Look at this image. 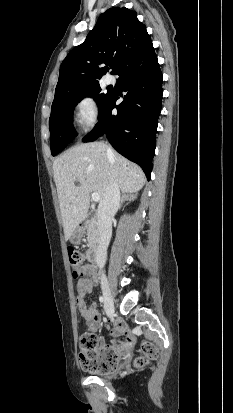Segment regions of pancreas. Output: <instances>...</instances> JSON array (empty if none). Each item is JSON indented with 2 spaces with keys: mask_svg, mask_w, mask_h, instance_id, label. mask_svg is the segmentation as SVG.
<instances>
[{
  "mask_svg": "<svg viewBox=\"0 0 233 413\" xmlns=\"http://www.w3.org/2000/svg\"><path fill=\"white\" fill-rule=\"evenodd\" d=\"M87 241H88V245L90 247H93L99 238V230H98V225L90 220L87 222Z\"/></svg>",
  "mask_w": 233,
  "mask_h": 413,
  "instance_id": "pancreas-1",
  "label": "pancreas"
}]
</instances>
